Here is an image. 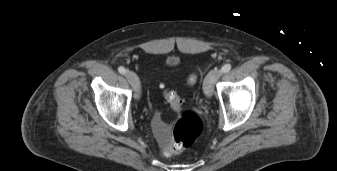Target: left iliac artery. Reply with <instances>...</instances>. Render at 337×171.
<instances>
[{
  "label": "left iliac artery",
  "instance_id": "left-iliac-artery-1",
  "mask_svg": "<svg viewBox=\"0 0 337 171\" xmlns=\"http://www.w3.org/2000/svg\"><path fill=\"white\" fill-rule=\"evenodd\" d=\"M231 64H225L222 68H221V72L222 73H227L231 70Z\"/></svg>",
  "mask_w": 337,
  "mask_h": 171
}]
</instances>
